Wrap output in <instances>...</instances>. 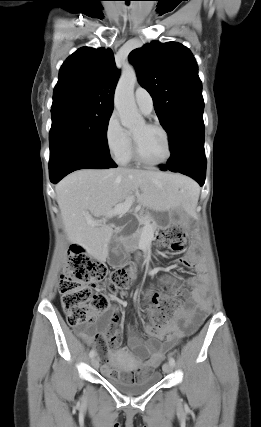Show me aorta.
<instances>
[{
  "instance_id": "aorta-1",
  "label": "aorta",
  "mask_w": 261,
  "mask_h": 427,
  "mask_svg": "<svg viewBox=\"0 0 261 427\" xmlns=\"http://www.w3.org/2000/svg\"><path fill=\"white\" fill-rule=\"evenodd\" d=\"M137 82L135 69L131 66L122 70L118 81L114 104L118 111L121 124L128 129H135L144 125L145 121L138 112L135 99L134 87Z\"/></svg>"
}]
</instances>
